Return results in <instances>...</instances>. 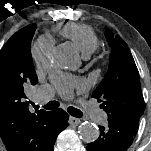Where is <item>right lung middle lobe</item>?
I'll return each instance as SVG.
<instances>
[{
    "instance_id": "1",
    "label": "right lung middle lobe",
    "mask_w": 151,
    "mask_h": 151,
    "mask_svg": "<svg viewBox=\"0 0 151 151\" xmlns=\"http://www.w3.org/2000/svg\"><path fill=\"white\" fill-rule=\"evenodd\" d=\"M36 30L30 24L16 32L0 51V83L26 86L29 78H36L30 51Z\"/></svg>"
}]
</instances>
